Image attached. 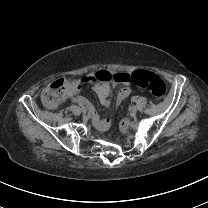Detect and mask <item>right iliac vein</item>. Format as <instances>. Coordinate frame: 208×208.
Wrapping results in <instances>:
<instances>
[{
    "label": "right iliac vein",
    "mask_w": 208,
    "mask_h": 208,
    "mask_svg": "<svg viewBox=\"0 0 208 208\" xmlns=\"http://www.w3.org/2000/svg\"><path fill=\"white\" fill-rule=\"evenodd\" d=\"M81 112H82L83 114H86L87 109L84 107V108L81 109Z\"/></svg>",
    "instance_id": "right-iliac-vein-1"
}]
</instances>
